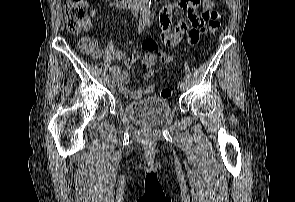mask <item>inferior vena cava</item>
I'll return each mask as SVG.
<instances>
[{"mask_svg": "<svg viewBox=\"0 0 295 202\" xmlns=\"http://www.w3.org/2000/svg\"><path fill=\"white\" fill-rule=\"evenodd\" d=\"M135 2L136 3V0H130V2ZM131 12L132 14L137 17L138 16V12H139V9H138V6L135 4L133 6H131Z\"/></svg>", "mask_w": 295, "mask_h": 202, "instance_id": "obj_1", "label": "inferior vena cava"}]
</instances>
